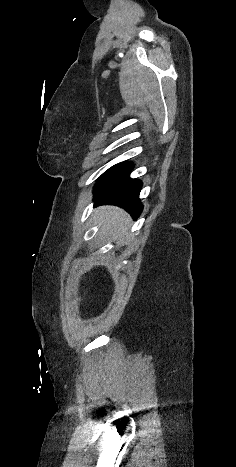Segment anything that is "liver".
<instances>
[{
  "label": "liver",
  "instance_id": "obj_1",
  "mask_svg": "<svg viewBox=\"0 0 236 467\" xmlns=\"http://www.w3.org/2000/svg\"><path fill=\"white\" fill-rule=\"evenodd\" d=\"M95 215L104 233L125 230L129 221L127 213L114 206H104L96 210Z\"/></svg>",
  "mask_w": 236,
  "mask_h": 467
}]
</instances>
